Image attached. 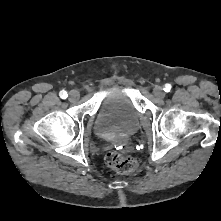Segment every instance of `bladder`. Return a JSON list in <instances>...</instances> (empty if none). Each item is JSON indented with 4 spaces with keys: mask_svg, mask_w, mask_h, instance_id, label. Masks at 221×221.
Instances as JSON below:
<instances>
[{
    "mask_svg": "<svg viewBox=\"0 0 221 221\" xmlns=\"http://www.w3.org/2000/svg\"><path fill=\"white\" fill-rule=\"evenodd\" d=\"M139 126V113L131 98L121 89L115 88L103 98L94 122V131L99 137H130Z\"/></svg>",
    "mask_w": 221,
    "mask_h": 221,
    "instance_id": "obj_1",
    "label": "bladder"
}]
</instances>
